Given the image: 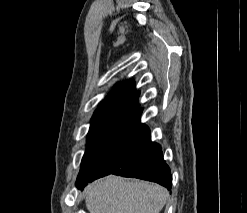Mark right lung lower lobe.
<instances>
[{
    "mask_svg": "<svg viewBox=\"0 0 247 213\" xmlns=\"http://www.w3.org/2000/svg\"><path fill=\"white\" fill-rule=\"evenodd\" d=\"M141 113L142 108H138V105L131 110L117 141L99 161L98 175L89 182L116 174L156 182L171 189L170 169L163 159L160 145L151 142L149 128L141 124ZM84 186L78 189L83 190Z\"/></svg>",
    "mask_w": 247,
    "mask_h": 213,
    "instance_id": "right-lung-lower-lobe-1",
    "label": "right lung lower lobe"
}]
</instances>
